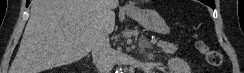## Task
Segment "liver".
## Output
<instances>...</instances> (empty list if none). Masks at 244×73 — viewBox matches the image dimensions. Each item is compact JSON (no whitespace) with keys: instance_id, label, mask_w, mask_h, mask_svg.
Segmentation results:
<instances>
[{"instance_id":"obj_1","label":"liver","mask_w":244,"mask_h":73,"mask_svg":"<svg viewBox=\"0 0 244 73\" xmlns=\"http://www.w3.org/2000/svg\"><path fill=\"white\" fill-rule=\"evenodd\" d=\"M116 0H33L9 73H41L77 62L102 32L112 33Z\"/></svg>"}]
</instances>
